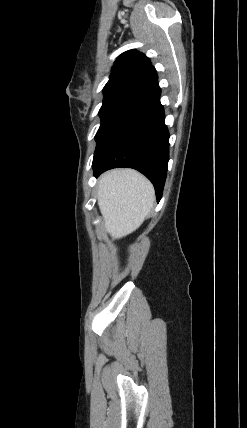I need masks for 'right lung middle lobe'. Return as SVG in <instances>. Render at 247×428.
Segmentation results:
<instances>
[{
  "label": "right lung middle lobe",
  "mask_w": 247,
  "mask_h": 428,
  "mask_svg": "<svg viewBox=\"0 0 247 428\" xmlns=\"http://www.w3.org/2000/svg\"><path fill=\"white\" fill-rule=\"evenodd\" d=\"M138 95V93L130 91H113L104 93L103 104L99 110L101 125L96 133V140H98L104 129L113 121V119Z\"/></svg>",
  "instance_id": "obj_1"
}]
</instances>
